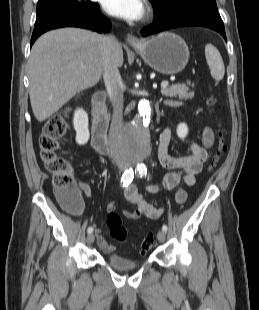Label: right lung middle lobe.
<instances>
[{
  "label": "right lung middle lobe",
  "mask_w": 259,
  "mask_h": 310,
  "mask_svg": "<svg viewBox=\"0 0 259 310\" xmlns=\"http://www.w3.org/2000/svg\"><path fill=\"white\" fill-rule=\"evenodd\" d=\"M93 4L84 0H38L36 22L55 14H74L86 11Z\"/></svg>",
  "instance_id": "1"
}]
</instances>
